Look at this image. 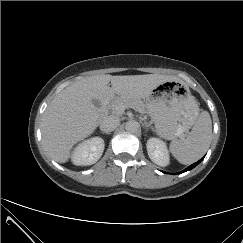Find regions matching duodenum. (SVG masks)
I'll return each mask as SVG.
<instances>
[{
    "label": "duodenum",
    "mask_w": 243,
    "mask_h": 243,
    "mask_svg": "<svg viewBox=\"0 0 243 243\" xmlns=\"http://www.w3.org/2000/svg\"><path fill=\"white\" fill-rule=\"evenodd\" d=\"M110 94L107 92L104 94L103 99H102V104L105 106L109 100Z\"/></svg>",
    "instance_id": "1"
}]
</instances>
